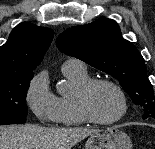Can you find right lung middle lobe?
Wrapping results in <instances>:
<instances>
[{
	"instance_id": "dd1d6c3e",
	"label": "right lung middle lobe",
	"mask_w": 155,
	"mask_h": 149,
	"mask_svg": "<svg viewBox=\"0 0 155 149\" xmlns=\"http://www.w3.org/2000/svg\"><path fill=\"white\" fill-rule=\"evenodd\" d=\"M33 73L0 77V125L26 122L27 90Z\"/></svg>"
}]
</instances>
